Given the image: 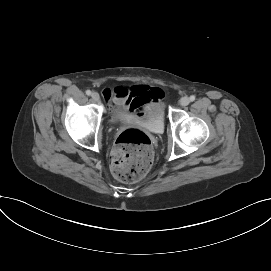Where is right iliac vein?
<instances>
[{
	"label": "right iliac vein",
	"instance_id": "63e3f726",
	"mask_svg": "<svg viewBox=\"0 0 271 271\" xmlns=\"http://www.w3.org/2000/svg\"><path fill=\"white\" fill-rule=\"evenodd\" d=\"M91 97L95 102H98L100 100V96H99V94L97 92H93L91 94Z\"/></svg>",
	"mask_w": 271,
	"mask_h": 271
}]
</instances>
